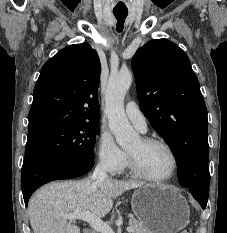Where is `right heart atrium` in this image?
I'll list each match as a JSON object with an SVG mask.
<instances>
[{"mask_svg":"<svg viewBox=\"0 0 227 233\" xmlns=\"http://www.w3.org/2000/svg\"><path fill=\"white\" fill-rule=\"evenodd\" d=\"M95 151L99 165L111 174L120 173L127 164L126 153L117 145L112 134L106 129L100 130Z\"/></svg>","mask_w":227,"mask_h":233,"instance_id":"obj_1","label":"right heart atrium"}]
</instances>
